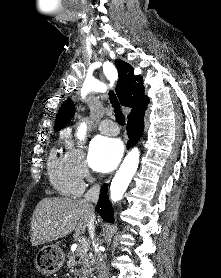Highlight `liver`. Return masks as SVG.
I'll return each instance as SVG.
<instances>
[{"instance_id": "liver-1", "label": "liver", "mask_w": 221, "mask_h": 278, "mask_svg": "<svg viewBox=\"0 0 221 278\" xmlns=\"http://www.w3.org/2000/svg\"><path fill=\"white\" fill-rule=\"evenodd\" d=\"M92 213L94 210L84 200L43 198L31 218L32 246L58 240L74 230L75 237L84 234Z\"/></svg>"}]
</instances>
